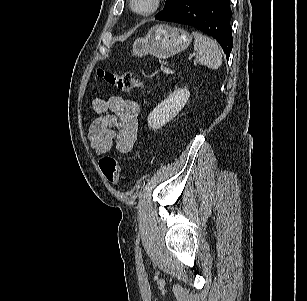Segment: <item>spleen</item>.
Wrapping results in <instances>:
<instances>
[{"mask_svg": "<svg viewBox=\"0 0 307 301\" xmlns=\"http://www.w3.org/2000/svg\"><path fill=\"white\" fill-rule=\"evenodd\" d=\"M195 64L205 65L210 69H218L222 64V54L219 45L209 37L193 32Z\"/></svg>", "mask_w": 307, "mask_h": 301, "instance_id": "1", "label": "spleen"}]
</instances>
